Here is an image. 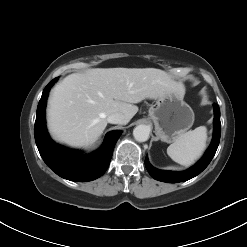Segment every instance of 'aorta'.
Segmentation results:
<instances>
[{
  "mask_svg": "<svg viewBox=\"0 0 247 247\" xmlns=\"http://www.w3.org/2000/svg\"><path fill=\"white\" fill-rule=\"evenodd\" d=\"M150 128L147 125H138L133 130V136L138 142H145L149 139Z\"/></svg>",
  "mask_w": 247,
  "mask_h": 247,
  "instance_id": "aorta-1",
  "label": "aorta"
}]
</instances>
